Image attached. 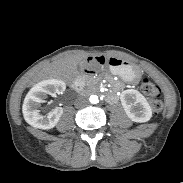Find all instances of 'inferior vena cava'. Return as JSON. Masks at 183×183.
<instances>
[{
	"mask_svg": "<svg viewBox=\"0 0 183 183\" xmlns=\"http://www.w3.org/2000/svg\"><path fill=\"white\" fill-rule=\"evenodd\" d=\"M88 104V100L87 98L85 97H79L77 100H76V106H85Z\"/></svg>",
	"mask_w": 183,
	"mask_h": 183,
	"instance_id": "obj_1",
	"label": "inferior vena cava"
}]
</instances>
